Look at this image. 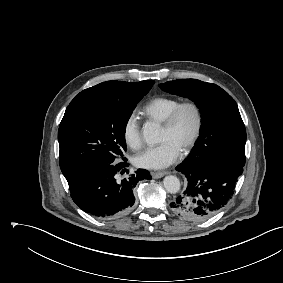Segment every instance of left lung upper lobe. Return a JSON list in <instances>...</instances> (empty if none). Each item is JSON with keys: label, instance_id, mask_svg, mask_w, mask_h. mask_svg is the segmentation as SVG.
I'll return each instance as SVG.
<instances>
[{"label": "left lung upper lobe", "instance_id": "obj_1", "mask_svg": "<svg viewBox=\"0 0 283 283\" xmlns=\"http://www.w3.org/2000/svg\"><path fill=\"white\" fill-rule=\"evenodd\" d=\"M171 94L189 98L201 110L200 136L183 162L196 168L213 162L245 165L246 130L236 102L219 86L196 79L161 83Z\"/></svg>", "mask_w": 283, "mask_h": 283}]
</instances>
